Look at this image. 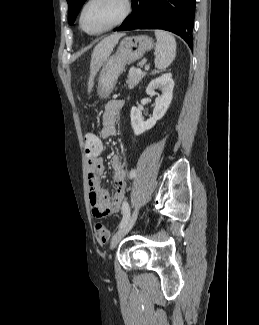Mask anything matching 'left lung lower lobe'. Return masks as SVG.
<instances>
[{
    "mask_svg": "<svg viewBox=\"0 0 259 325\" xmlns=\"http://www.w3.org/2000/svg\"><path fill=\"white\" fill-rule=\"evenodd\" d=\"M132 4L131 15L114 31L163 29L193 47L196 0H132Z\"/></svg>",
    "mask_w": 259,
    "mask_h": 325,
    "instance_id": "0a47b994",
    "label": "left lung lower lobe"
}]
</instances>
